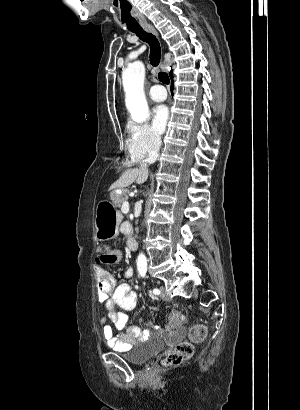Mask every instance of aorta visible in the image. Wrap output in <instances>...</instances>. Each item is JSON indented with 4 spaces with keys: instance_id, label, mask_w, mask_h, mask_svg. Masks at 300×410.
Masks as SVG:
<instances>
[{
    "instance_id": "1",
    "label": "aorta",
    "mask_w": 300,
    "mask_h": 410,
    "mask_svg": "<svg viewBox=\"0 0 300 410\" xmlns=\"http://www.w3.org/2000/svg\"><path fill=\"white\" fill-rule=\"evenodd\" d=\"M145 66L141 61L130 64L122 74L123 88L125 91L126 107L131 118L142 123L149 117V108L144 93ZM137 269L146 272L147 258L143 253L137 257Z\"/></svg>"
}]
</instances>
